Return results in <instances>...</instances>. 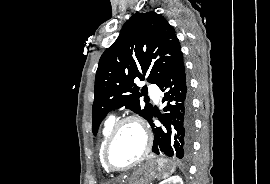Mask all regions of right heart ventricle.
Instances as JSON below:
<instances>
[{"label": "right heart ventricle", "mask_w": 270, "mask_h": 184, "mask_svg": "<svg viewBox=\"0 0 270 184\" xmlns=\"http://www.w3.org/2000/svg\"><path fill=\"white\" fill-rule=\"evenodd\" d=\"M116 122V119L114 116H108L102 126V130H101V140H100V146H99V157H100V161L101 164L103 166V168L109 172V170L105 167L104 163H103V159H102V153H103V148L104 145L106 143L107 137L110 134L114 124Z\"/></svg>", "instance_id": "right-heart-ventricle-1"}]
</instances>
